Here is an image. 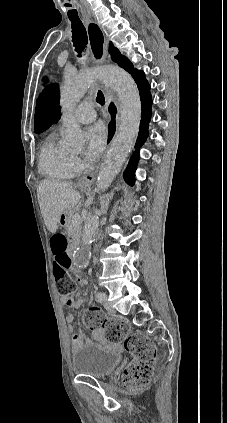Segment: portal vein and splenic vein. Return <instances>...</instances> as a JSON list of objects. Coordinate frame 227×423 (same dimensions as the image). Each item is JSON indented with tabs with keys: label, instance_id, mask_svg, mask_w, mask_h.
Instances as JSON below:
<instances>
[{
	"label": "portal vein and splenic vein",
	"instance_id": "1",
	"mask_svg": "<svg viewBox=\"0 0 227 423\" xmlns=\"http://www.w3.org/2000/svg\"><path fill=\"white\" fill-rule=\"evenodd\" d=\"M80 219H81L80 213H75V215H73L72 217L73 223H79Z\"/></svg>",
	"mask_w": 227,
	"mask_h": 423
}]
</instances>
